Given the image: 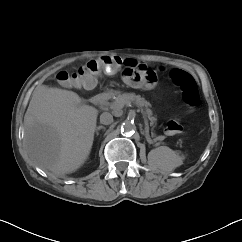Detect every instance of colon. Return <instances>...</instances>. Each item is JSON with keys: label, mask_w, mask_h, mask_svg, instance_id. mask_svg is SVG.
Here are the masks:
<instances>
[{"label": "colon", "mask_w": 242, "mask_h": 242, "mask_svg": "<svg viewBox=\"0 0 242 242\" xmlns=\"http://www.w3.org/2000/svg\"><path fill=\"white\" fill-rule=\"evenodd\" d=\"M122 70L124 76L132 85H152L156 82V73L147 66L133 59H122L115 55H106L90 60L73 71H62L57 75L58 82L67 87H92L96 76L101 72L112 73ZM171 79L181 88L182 98L187 106L193 107L199 101V92L193 78L186 72L174 69ZM183 127L175 120L166 124V133L176 135L181 133Z\"/></svg>", "instance_id": "5ec220e1"}]
</instances>
